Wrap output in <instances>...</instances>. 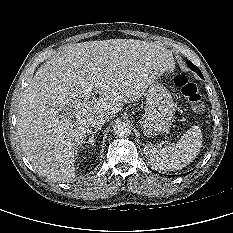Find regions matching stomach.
Returning <instances> with one entry per match:
<instances>
[{
	"label": "stomach",
	"mask_w": 233,
	"mask_h": 233,
	"mask_svg": "<svg viewBox=\"0 0 233 233\" xmlns=\"http://www.w3.org/2000/svg\"><path fill=\"white\" fill-rule=\"evenodd\" d=\"M175 104L170 92L160 82H153L147 90L145 113L140 120L143 133L155 136L167 132L173 121Z\"/></svg>",
	"instance_id": "0dacf381"
}]
</instances>
